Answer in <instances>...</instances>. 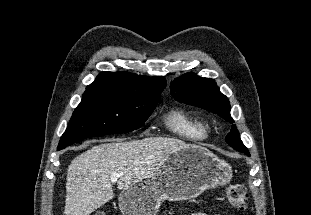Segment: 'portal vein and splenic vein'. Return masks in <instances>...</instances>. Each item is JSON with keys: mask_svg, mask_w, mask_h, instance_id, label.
Returning <instances> with one entry per match:
<instances>
[{"mask_svg": "<svg viewBox=\"0 0 311 215\" xmlns=\"http://www.w3.org/2000/svg\"><path fill=\"white\" fill-rule=\"evenodd\" d=\"M119 177H120V174H119V173H114V174L112 175V181L115 182Z\"/></svg>", "mask_w": 311, "mask_h": 215, "instance_id": "1", "label": "portal vein and splenic vein"}]
</instances>
